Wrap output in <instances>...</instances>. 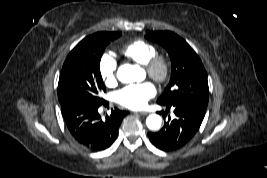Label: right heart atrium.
Wrapping results in <instances>:
<instances>
[{
	"mask_svg": "<svg viewBox=\"0 0 267 178\" xmlns=\"http://www.w3.org/2000/svg\"><path fill=\"white\" fill-rule=\"evenodd\" d=\"M99 74L107 87L117 84V62L110 54H103L99 61Z\"/></svg>",
	"mask_w": 267,
	"mask_h": 178,
	"instance_id": "right-heart-atrium-1",
	"label": "right heart atrium"
}]
</instances>
